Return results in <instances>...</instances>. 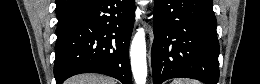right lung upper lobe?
<instances>
[{
    "instance_id": "right-lung-upper-lobe-1",
    "label": "right lung upper lobe",
    "mask_w": 260,
    "mask_h": 84,
    "mask_svg": "<svg viewBox=\"0 0 260 84\" xmlns=\"http://www.w3.org/2000/svg\"><path fill=\"white\" fill-rule=\"evenodd\" d=\"M92 2L93 0H56L58 24L62 23Z\"/></svg>"
}]
</instances>
